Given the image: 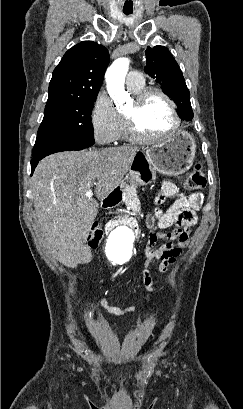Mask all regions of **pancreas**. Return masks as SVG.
Instances as JSON below:
<instances>
[{
    "mask_svg": "<svg viewBox=\"0 0 243 409\" xmlns=\"http://www.w3.org/2000/svg\"><path fill=\"white\" fill-rule=\"evenodd\" d=\"M142 180L138 177L135 181H132L130 185H126L124 188L123 202L128 208L134 206V201L136 198L137 187L141 184Z\"/></svg>",
    "mask_w": 243,
    "mask_h": 409,
    "instance_id": "pancreas-1",
    "label": "pancreas"
}]
</instances>
